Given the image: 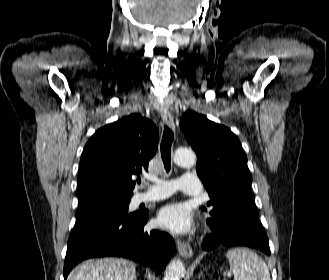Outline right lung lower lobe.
Returning a JSON list of instances; mask_svg holds the SVG:
<instances>
[{"mask_svg":"<svg viewBox=\"0 0 329 280\" xmlns=\"http://www.w3.org/2000/svg\"><path fill=\"white\" fill-rule=\"evenodd\" d=\"M148 212L134 215L106 207L77 218L69 236L64 263V280L79 262L105 256H118L148 265L159 273L175 253L171 236L156 230H143Z\"/></svg>","mask_w":329,"mask_h":280,"instance_id":"1","label":"right lung lower lobe"}]
</instances>
